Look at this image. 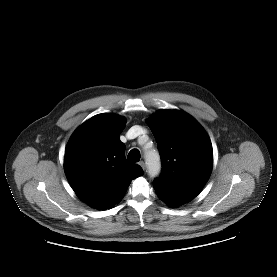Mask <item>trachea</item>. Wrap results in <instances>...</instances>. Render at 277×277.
<instances>
[{"mask_svg": "<svg viewBox=\"0 0 277 277\" xmlns=\"http://www.w3.org/2000/svg\"><path fill=\"white\" fill-rule=\"evenodd\" d=\"M128 160L131 162H138L140 160V152L137 149H132L128 156H127Z\"/></svg>", "mask_w": 277, "mask_h": 277, "instance_id": "trachea-1", "label": "trachea"}]
</instances>
